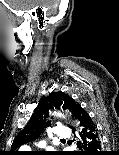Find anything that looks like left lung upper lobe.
Listing matches in <instances>:
<instances>
[{
    "label": "left lung upper lobe",
    "mask_w": 119,
    "mask_h": 155,
    "mask_svg": "<svg viewBox=\"0 0 119 155\" xmlns=\"http://www.w3.org/2000/svg\"><path fill=\"white\" fill-rule=\"evenodd\" d=\"M76 105L77 103H75L69 95L62 91L52 92L49 96L41 98L28 124L14 139L10 155H19L17 149L21 145L30 143L40 136L47 125L44 115H47L50 109L63 108L64 110H69L74 116ZM51 155L65 154L62 152H54Z\"/></svg>",
    "instance_id": "left-lung-upper-lobe-1"
}]
</instances>
